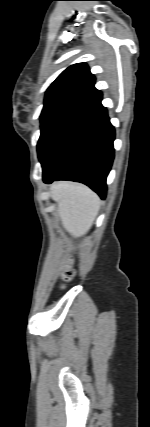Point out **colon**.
I'll return each mask as SVG.
<instances>
[{"instance_id": "1", "label": "colon", "mask_w": 150, "mask_h": 427, "mask_svg": "<svg viewBox=\"0 0 150 427\" xmlns=\"http://www.w3.org/2000/svg\"><path fill=\"white\" fill-rule=\"evenodd\" d=\"M73 278V273L71 272V271H67L65 274H64V281L65 282H68V281H70L71 279Z\"/></svg>"}]
</instances>
